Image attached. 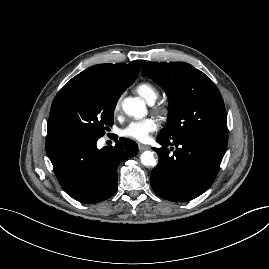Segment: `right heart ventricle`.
I'll use <instances>...</instances> for the list:
<instances>
[{
	"mask_svg": "<svg viewBox=\"0 0 269 269\" xmlns=\"http://www.w3.org/2000/svg\"><path fill=\"white\" fill-rule=\"evenodd\" d=\"M135 91L148 103H153L159 95L157 87L148 81L137 84Z\"/></svg>",
	"mask_w": 269,
	"mask_h": 269,
	"instance_id": "right-heart-ventricle-1",
	"label": "right heart ventricle"
}]
</instances>
